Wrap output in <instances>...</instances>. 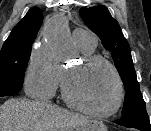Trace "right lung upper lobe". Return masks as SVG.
<instances>
[{"mask_svg":"<svg viewBox=\"0 0 151 131\" xmlns=\"http://www.w3.org/2000/svg\"><path fill=\"white\" fill-rule=\"evenodd\" d=\"M43 15L38 7L31 8L23 19L13 28L3 47L31 45L41 27Z\"/></svg>","mask_w":151,"mask_h":131,"instance_id":"right-lung-upper-lobe-1","label":"right lung upper lobe"}]
</instances>
